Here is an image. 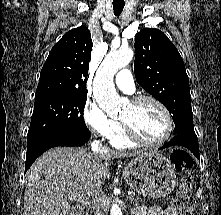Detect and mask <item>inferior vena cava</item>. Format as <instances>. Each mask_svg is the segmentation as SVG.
I'll return each instance as SVG.
<instances>
[{"label":"inferior vena cava","mask_w":221,"mask_h":215,"mask_svg":"<svg viewBox=\"0 0 221 215\" xmlns=\"http://www.w3.org/2000/svg\"><path fill=\"white\" fill-rule=\"evenodd\" d=\"M91 149L93 153H104L108 151L107 147H102L100 141L94 140L91 144ZM95 205V214L96 215H105V209L103 208L101 202L99 201V195L95 196L93 199Z\"/></svg>","instance_id":"inferior-vena-cava-1"}]
</instances>
